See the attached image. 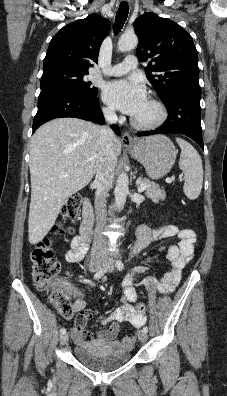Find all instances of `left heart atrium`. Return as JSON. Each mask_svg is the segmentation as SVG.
<instances>
[{
	"mask_svg": "<svg viewBox=\"0 0 227 396\" xmlns=\"http://www.w3.org/2000/svg\"><path fill=\"white\" fill-rule=\"evenodd\" d=\"M103 100L123 113L135 116L146 104L147 92L138 79L115 80L104 87Z\"/></svg>",
	"mask_w": 227,
	"mask_h": 396,
	"instance_id": "left-heart-atrium-1",
	"label": "left heart atrium"
}]
</instances>
